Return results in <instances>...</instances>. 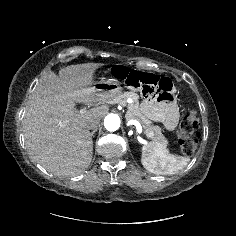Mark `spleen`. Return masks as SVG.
I'll use <instances>...</instances> for the list:
<instances>
[{
  "mask_svg": "<svg viewBox=\"0 0 236 236\" xmlns=\"http://www.w3.org/2000/svg\"><path fill=\"white\" fill-rule=\"evenodd\" d=\"M143 167L157 175H173L182 170L190 161L189 157L170 154L160 144L150 143L141 149Z\"/></svg>",
  "mask_w": 236,
  "mask_h": 236,
  "instance_id": "3e777b00",
  "label": "spleen"
}]
</instances>
